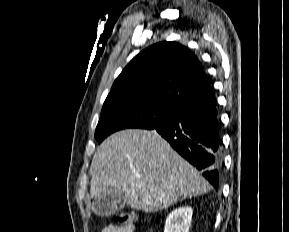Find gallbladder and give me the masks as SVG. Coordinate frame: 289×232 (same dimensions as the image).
Instances as JSON below:
<instances>
[{
    "label": "gallbladder",
    "mask_w": 289,
    "mask_h": 232,
    "mask_svg": "<svg viewBox=\"0 0 289 232\" xmlns=\"http://www.w3.org/2000/svg\"><path fill=\"white\" fill-rule=\"evenodd\" d=\"M124 195L121 191L108 190L105 196L95 197L93 207L99 216H110L124 207Z\"/></svg>",
    "instance_id": "obj_1"
}]
</instances>
